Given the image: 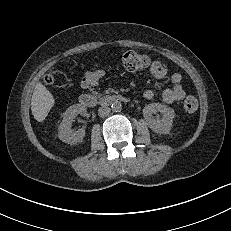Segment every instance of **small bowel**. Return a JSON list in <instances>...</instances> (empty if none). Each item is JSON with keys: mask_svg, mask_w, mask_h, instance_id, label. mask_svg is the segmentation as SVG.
Instances as JSON below:
<instances>
[{"mask_svg": "<svg viewBox=\"0 0 231 231\" xmlns=\"http://www.w3.org/2000/svg\"><path fill=\"white\" fill-rule=\"evenodd\" d=\"M150 73L153 79L161 80L168 74L166 65L160 61H153L150 65ZM103 70L97 69L88 71L82 78L81 86L85 89L96 87L100 80L104 77ZM171 86L164 89L162 92V100L165 103H173L182 100L185 97V91L182 87V76L178 72H174L170 75ZM155 93L152 90H145L143 97L145 99H153Z\"/></svg>", "mask_w": 231, "mask_h": 231, "instance_id": "c3829d8e", "label": "small bowel"}]
</instances>
